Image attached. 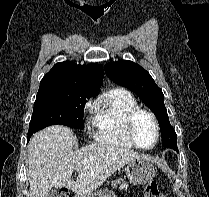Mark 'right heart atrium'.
<instances>
[{"mask_svg": "<svg viewBox=\"0 0 209 197\" xmlns=\"http://www.w3.org/2000/svg\"><path fill=\"white\" fill-rule=\"evenodd\" d=\"M95 107V104L93 102H88L85 106V110L89 111L92 110Z\"/></svg>", "mask_w": 209, "mask_h": 197, "instance_id": "d8ad5b80", "label": "right heart atrium"}]
</instances>
